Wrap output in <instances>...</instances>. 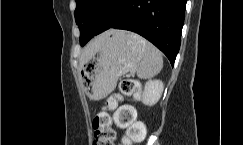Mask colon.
Returning a JSON list of instances; mask_svg holds the SVG:
<instances>
[{"mask_svg":"<svg viewBox=\"0 0 243 145\" xmlns=\"http://www.w3.org/2000/svg\"><path fill=\"white\" fill-rule=\"evenodd\" d=\"M119 91L123 95L133 96L135 100L140 99L139 85L136 80L125 78L119 83ZM120 94L111 96L105 103L106 110H115L111 116L107 111L96 114L92 125L95 139L93 145H114L116 132L113 125L127 130L125 144L141 141L145 136V126L136 119V110L131 105L118 107Z\"/></svg>","mask_w":243,"mask_h":145,"instance_id":"1","label":"colon"}]
</instances>
